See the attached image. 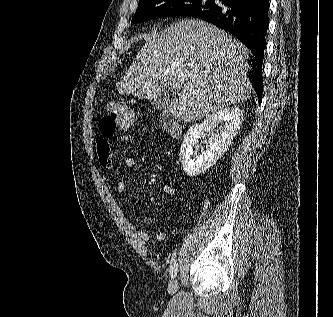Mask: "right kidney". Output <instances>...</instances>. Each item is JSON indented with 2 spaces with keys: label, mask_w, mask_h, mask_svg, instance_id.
I'll return each mask as SVG.
<instances>
[{
  "label": "right kidney",
  "mask_w": 333,
  "mask_h": 317,
  "mask_svg": "<svg viewBox=\"0 0 333 317\" xmlns=\"http://www.w3.org/2000/svg\"><path fill=\"white\" fill-rule=\"evenodd\" d=\"M243 112L238 107H226L206 117L201 124L192 125L180 148V160L187 175L194 177L204 173L213 166L227 151L243 122ZM225 122L220 134H212L208 139L209 146L197 156L193 148L206 132Z\"/></svg>",
  "instance_id": "1"
}]
</instances>
